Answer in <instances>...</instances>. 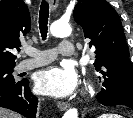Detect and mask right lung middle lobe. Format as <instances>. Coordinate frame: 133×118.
<instances>
[{"mask_svg":"<svg viewBox=\"0 0 133 118\" xmlns=\"http://www.w3.org/2000/svg\"><path fill=\"white\" fill-rule=\"evenodd\" d=\"M14 66L15 63H0V86L17 83L12 74Z\"/></svg>","mask_w":133,"mask_h":118,"instance_id":"right-lung-middle-lobe-1","label":"right lung middle lobe"}]
</instances>
